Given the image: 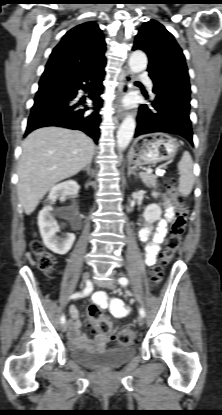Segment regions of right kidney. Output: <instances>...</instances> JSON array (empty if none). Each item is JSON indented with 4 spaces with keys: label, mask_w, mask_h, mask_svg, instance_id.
Instances as JSON below:
<instances>
[{
    "label": "right kidney",
    "mask_w": 222,
    "mask_h": 415,
    "mask_svg": "<svg viewBox=\"0 0 222 415\" xmlns=\"http://www.w3.org/2000/svg\"><path fill=\"white\" fill-rule=\"evenodd\" d=\"M79 185L74 180H68L53 186L50 190L48 200L53 204L57 198L76 197L79 191ZM65 216V209L54 210L51 205L45 206L38 215V225L44 245L52 252L65 255L72 247L75 241L73 233H67L64 237H58L59 227L56 224L54 216Z\"/></svg>",
    "instance_id": "right-kidney-1"
}]
</instances>
